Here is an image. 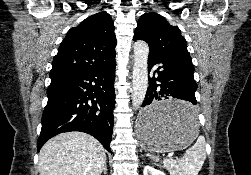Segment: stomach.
Masks as SVG:
<instances>
[{
	"mask_svg": "<svg viewBox=\"0 0 251 175\" xmlns=\"http://www.w3.org/2000/svg\"><path fill=\"white\" fill-rule=\"evenodd\" d=\"M187 105L189 100H157L155 107L148 105L142 109L135 125L142 147L169 154L190 145L199 133L200 119L195 113L196 106Z\"/></svg>",
	"mask_w": 251,
	"mask_h": 175,
	"instance_id": "1",
	"label": "stomach"
}]
</instances>
